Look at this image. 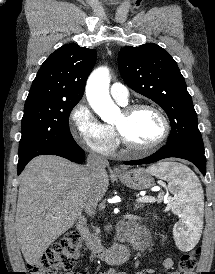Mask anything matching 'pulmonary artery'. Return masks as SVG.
<instances>
[{"label":"pulmonary artery","instance_id":"e3ab8cb5","mask_svg":"<svg viewBox=\"0 0 215 274\" xmlns=\"http://www.w3.org/2000/svg\"><path fill=\"white\" fill-rule=\"evenodd\" d=\"M110 94L114 100L120 104H127L129 98V92L126 86L121 83H113L110 88Z\"/></svg>","mask_w":215,"mask_h":274}]
</instances>
